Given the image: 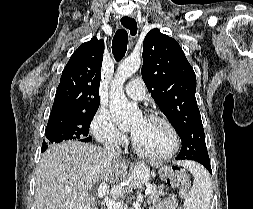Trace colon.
<instances>
[{
    "label": "colon",
    "mask_w": 253,
    "mask_h": 209,
    "mask_svg": "<svg viewBox=\"0 0 253 209\" xmlns=\"http://www.w3.org/2000/svg\"><path fill=\"white\" fill-rule=\"evenodd\" d=\"M168 183L172 186H179L182 197H185L188 193L190 182L187 174L179 169H171L169 171Z\"/></svg>",
    "instance_id": "obj_1"
}]
</instances>
